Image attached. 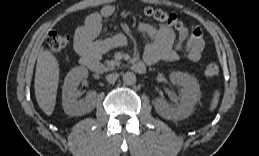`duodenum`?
Wrapping results in <instances>:
<instances>
[{"mask_svg":"<svg viewBox=\"0 0 259 156\" xmlns=\"http://www.w3.org/2000/svg\"><path fill=\"white\" fill-rule=\"evenodd\" d=\"M81 59L83 64L95 73H103L106 70L105 66L98 59L90 55H85ZM132 69L138 74H143L146 71V64L141 61L136 62L132 65Z\"/></svg>","mask_w":259,"mask_h":156,"instance_id":"obj_1","label":"duodenum"}]
</instances>
